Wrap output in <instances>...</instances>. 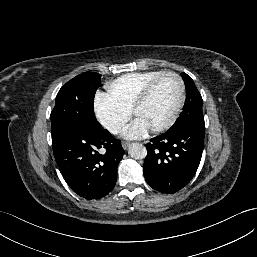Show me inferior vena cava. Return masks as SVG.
Listing matches in <instances>:
<instances>
[{
	"instance_id": "602c4592",
	"label": "inferior vena cava",
	"mask_w": 257,
	"mask_h": 257,
	"mask_svg": "<svg viewBox=\"0 0 257 257\" xmlns=\"http://www.w3.org/2000/svg\"><path fill=\"white\" fill-rule=\"evenodd\" d=\"M121 130V125L119 124H113L110 126V132L113 134H118Z\"/></svg>"
}]
</instances>
